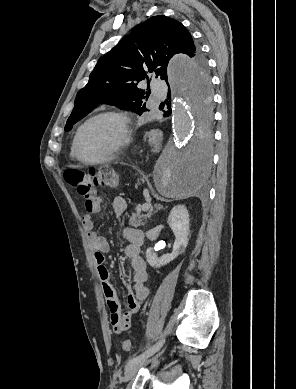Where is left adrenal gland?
Instances as JSON below:
<instances>
[{"label": "left adrenal gland", "mask_w": 296, "mask_h": 389, "mask_svg": "<svg viewBox=\"0 0 296 389\" xmlns=\"http://www.w3.org/2000/svg\"><path fill=\"white\" fill-rule=\"evenodd\" d=\"M154 207L156 208V210L152 214L158 212V210H161L163 208L161 204H155Z\"/></svg>", "instance_id": "a2214340"}]
</instances>
